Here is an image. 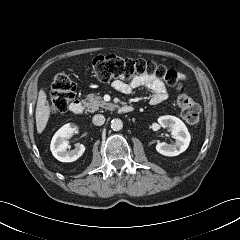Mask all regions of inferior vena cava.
Instances as JSON below:
<instances>
[{
	"label": "inferior vena cava",
	"instance_id": "1",
	"mask_svg": "<svg viewBox=\"0 0 240 240\" xmlns=\"http://www.w3.org/2000/svg\"><path fill=\"white\" fill-rule=\"evenodd\" d=\"M92 122L96 126H101L105 122V117L101 114H97V115L93 116Z\"/></svg>",
	"mask_w": 240,
	"mask_h": 240
}]
</instances>
